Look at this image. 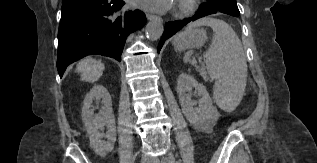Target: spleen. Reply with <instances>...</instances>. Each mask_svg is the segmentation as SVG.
<instances>
[{
  "mask_svg": "<svg viewBox=\"0 0 317 163\" xmlns=\"http://www.w3.org/2000/svg\"><path fill=\"white\" fill-rule=\"evenodd\" d=\"M210 26L214 32L212 43L204 55L207 71L215 80L213 96L216 104L226 112L239 105L247 82V63L243 46L235 31L226 22L202 18L187 29Z\"/></svg>",
  "mask_w": 317,
  "mask_h": 163,
  "instance_id": "spleen-1",
  "label": "spleen"
}]
</instances>
